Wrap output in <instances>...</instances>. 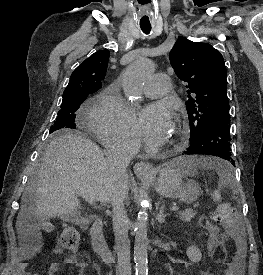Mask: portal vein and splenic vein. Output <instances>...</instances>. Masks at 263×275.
Here are the masks:
<instances>
[{"instance_id":"portal-vein-and-splenic-vein-1","label":"portal vein and splenic vein","mask_w":263,"mask_h":275,"mask_svg":"<svg viewBox=\"0 0 263 275\" xmlns=\"http://www.w3.org/2000/svg\"><path fill=\"white\" fill-rule=\"evenodd\" d=\"M77 194L80 195V196H82V198L85 199L89 204H95V199H94V197H92V196L86 194V193L83 192V191H78ZM170 210H171V211H178V210H179V207L173 206V207H171Z\"/></svg>"}]
</instances>
